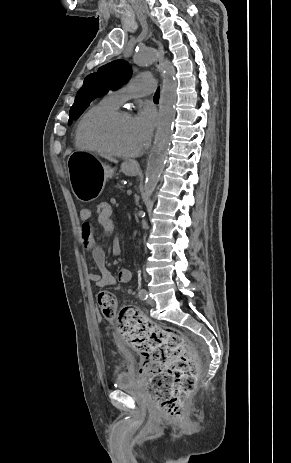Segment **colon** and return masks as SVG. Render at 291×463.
Wrapping results in <instances>:
<instances>
[{
	"label": "colon",
	"mask_w": 291,
	"mask_h": 463,
	"mask_svg": "<svg viewBox=\"0 0 291 463\" xmlns=\"http://www.w3.org/2000/svg\"><path fill=\"white\" fill-rule=\"evenodd\" d=\"M112 203L93 205V219L99 226H112ZM97 304L106 317L118 315V332L125 342L141 353V375L147 380L151 397L173 419L182 417V408L197 383L198 367L193 349L177 329L150 322L130 308L117 313L113 293L101 291Z\"/></svg>",
	"instance_id": "5ec220e1"
}]
</instances>
